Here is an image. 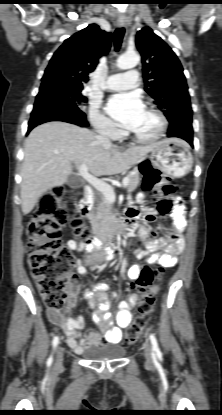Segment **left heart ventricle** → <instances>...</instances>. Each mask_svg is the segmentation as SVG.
<instances>
[{"label":"left heart ventricle","mask_w":222,"mask_h":415,"mask_svg":"<svg viewBox=\"0 0 222 415\" xmlns=\"http://www.w3.org/2000/svg\"><path fill=\"white\" fill-rule=\"evenodd\" d=\"M159 125L160 123L156 115L144 108L133 126L129 129L142 137H151L158 131Z\"/></svg>","instance_id":"obj_1"}]
</instances>
